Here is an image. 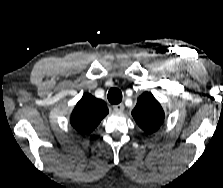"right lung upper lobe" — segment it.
Here are the masks:
<instances>
[{"instance_id": "1", "label": "right lung upper lobe", "mask_w": 223, "mask_h": 188, "mask_svg": "<svg viewBox=\"0 0 223 188\" xmlns=\"http://www.w3.org/2000/svg\"><path fill=\"white\" fill-rule=\"evenodd\" d=\"M108 114L106 103L84 94L71 113L70 123L81 134L91 133Z\"/></svg>"}]
</instances>
